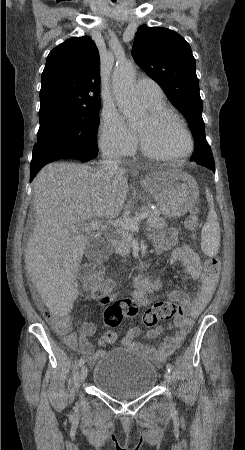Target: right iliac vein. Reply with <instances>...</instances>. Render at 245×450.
<instances>
[{
    "mask_svg": "<svg viewBox=\"0 0 245 450\" xmlns=\"http://www.w3.org/2000/svg\"><path fill=\"white\" fill-rule=\"evenodd\" d=\"M88 375V369L85 365H83L80 369V380L81 382H84Z\"/></svg>",
    "mask_w": 245,
    "mask_h": 450,
    "instance_id": "obj_1",
    "label": "right iliac vein"
}]
</instances>
